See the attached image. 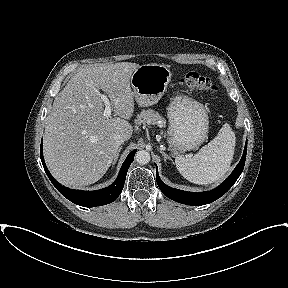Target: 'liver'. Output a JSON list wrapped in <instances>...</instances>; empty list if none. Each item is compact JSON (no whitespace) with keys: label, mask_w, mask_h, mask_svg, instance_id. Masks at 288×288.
<instances>
[{"label":"liver","mask_w":288,"mask_h":288,"mask_svg":"<svg viewBox=\"0 0 288 288\" xmlns=\"http://www.w3.org/2000/svg\"><path fill=\"white\" fill-rule=\"evenodd\" d=\"M139 64L120 62L83 68L55 97L45 119L44 155L54 178L69 187L97 182L113 163L119 144L133 133L130 79ZM110 99L115 118L105 117L100 91Z\"/></svg>","instance_id":"liver-1"}]
</instances>
